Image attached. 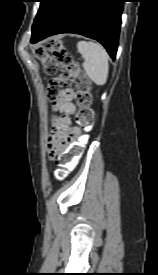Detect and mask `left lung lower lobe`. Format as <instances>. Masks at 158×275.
I'll return each instance as SVG.
<instances>
[{
  "label": "left lung lower lobe",
  "mask_w": 158,
  "mask_h": 275,
  "mask_svg": "<svg viewBox=\"0 0 158 275\" xmlns=\"http://www.w3.org/2000/svg\"><path fill=\"white\" fill-rule=\"evenodd\" d=\"M124 0H54L43 23L32 32L37 43L59 33H76L100 42L115 59Z\"/></svg>",
  "instance_id": "left-lung-lower-lobe-1"
}]
</instances>
